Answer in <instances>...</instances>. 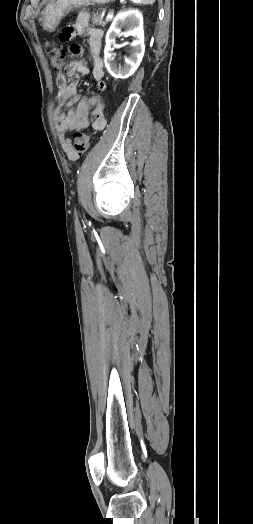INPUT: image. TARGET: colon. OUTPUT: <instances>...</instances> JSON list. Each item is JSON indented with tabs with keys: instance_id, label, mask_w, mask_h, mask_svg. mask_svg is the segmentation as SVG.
<instances>
[{
	"instance_id": "colon-1",
	"label": "colon",
	"mask_w": 253,
	"mask_h": 524,
	"mask_svg": "<svg viewBox=\"0 0 253 524\" xmlns=\"http://www.w3.org/2000/svg\"><path fill=\"white\" fill-rule=\"evenodd\" d=\"M46 52L49 57L52 69L54 71L60 72L67 58L65 51L58 45V43L54 41H48L46 43ZM89 145L90 139L87 134L83 132L75 133L72 137V149L70 157L72 159H76L84 155L87 152Z\"/></svg>"
}]
</instances>
